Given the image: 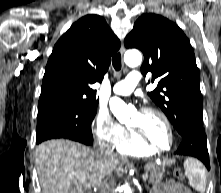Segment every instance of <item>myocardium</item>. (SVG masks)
Returning <instances> with one entry per match:
<instances>
[{"label":"myocardium","mask_w":221,"mask_h":193,"mask_svg":"<svg viewBox=\"0 0 221 193\" xmlns=\"http://www.w3.org/2000/svg\"><path fill=\"white\" fill-rule=\"evenodd\" d=\"M141 113H152L155 114L157 116H159L165 123L168 131H169V135H170V144L168 148H161L158 147L157 145H155L154 143H152L145 135L144 133L140 130L137 129L135 127L129 126V130L130 132L133 134V136L145 147L149 148L151 151L154 152H168L170 151L175 143V134H174V129L173 126L169 120V118L166 116V114L164 112H162L161 110L155 108V107H144L141 110Z\"/></svg>","instance_id":"1"}]
</instances>
